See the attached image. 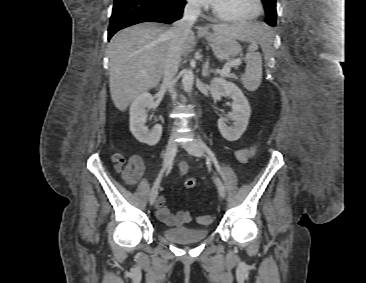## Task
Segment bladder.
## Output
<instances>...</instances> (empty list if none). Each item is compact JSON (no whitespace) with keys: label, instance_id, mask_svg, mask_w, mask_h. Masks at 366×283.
Returning <instances> with one entry per match:
<instances>
[{"label":"bladder","instance_id":"1","mask_svg":"<svg viewBox=\"0 0 366 283\" xmlns=\"http://www.w3.org/2000/svg\"><path fill=\"white\" fill-rule=\"evenodd\" d=\"M162 236L167 240L178 244H191L203 241L210 231L208 228H161Z\"/></svg>","mask_w":366,"mask_h":283}]
</instances>
